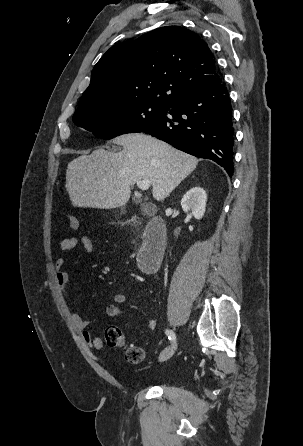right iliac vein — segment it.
Segmentation results:
<instances>
[{
  "label": "right iliac vein",
  "instance_id": "63e3f726",
  "mask_svg": "<svg viewBox=\"0 0 303 446\" xmlns=\"http://www.w3.org/2000/svg\"><path fill=\"white\" fill-rule=\"evenodd\" d=\"M177 348V343L174 342L172 345H170L169 347L165 348L162 353L159 356V360L160 361H166L169 358L172 357V355L175 353V350Z\"/></svg>",
  "mask_w": 303,
  "mask_h": 446
}]
</instances>
